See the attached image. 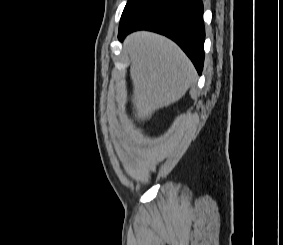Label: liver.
Wrapping results in <instances>:
<instances>
[{
    "label": "liver",
    "instance_id": "obj_1",
    "mask_svg": "<svg viewBox=\"0 0 283 245\" xmlns=\"http://www.w3.org/2000/svg\"><path fill=\"white\" fill-rule=\"evenodd\" d=\"M124 47L131 61L132 103L138 121L177 102L196 81L191 61L164 36L139 31L127 37Z\"/></svg>",
    "mask_w": 283,
    "mask_h": 245
}]
</instances>
